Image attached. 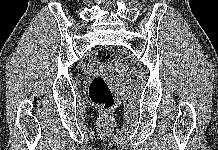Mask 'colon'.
Returning a JSON list of instances; mask_svg holds the SVG:
<instances>
[{
    "instance_id": "obj_1",
    "label": "colon",
    "mask_w": 218,
    "mask_h": 150,
    "mask_svg": "<svg viewBox=\"0 0 218 150\" xmlns=\"http://www.w3.org/2000/svg\"><path fill=\"white\" fill-rule=\"evenodd\" d=\"M115 59L114 52L109 48H101L96 52V60L101 65H108ZM89 98L100 110L108 112L114 106L112 89L103 76H95L89 85Z\"/></svg>"
}]
</instances>
